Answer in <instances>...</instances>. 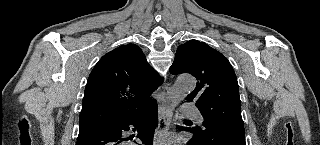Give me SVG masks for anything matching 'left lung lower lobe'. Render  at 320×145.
Listing matches in <instances>:
<instances>
[{"label":"left lung lower lobe","mask_w":320,"mask_h":145,"mask_svg":"<svg viewBox=\"0 0 320 145\" xmlns=\"http://www.w3.org/2000/svg\"><path fill=\"white\" fill-rule=\"evenodd\" d=\"M185 130L194 134L188 145H246L245 133L230 129L219 128L205 135L196 134L194 128H185Z\"/></svg>","instance_id":"1"}]
</instances>
